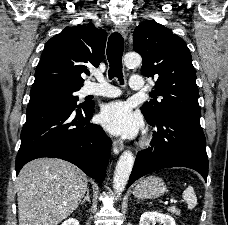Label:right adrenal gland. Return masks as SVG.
<instances>
[{
  "mask_svg": "<svg viewBox=\"0 0 228 225\" xmlns=\"http://www.w3.org/2000/svg\"><path fill=\"white\" fill-rule=\"evenodd\" d=\"M85 201H88V203H90L89 189H87L86 197H84V199H83V201H81L80 205H83V203H85Z\"/></svg>",
  "mask_w": 228,
  "mask_h": 225,
  "instance_id": "obj_1",
  "label": "right adrenal gland"
}]
</instances>
